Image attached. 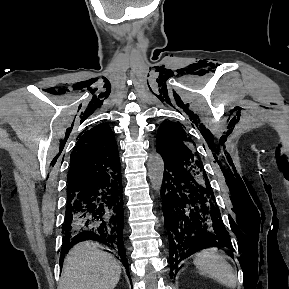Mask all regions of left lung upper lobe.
<instances>
[{
  "label": "left lung upper lobe",
  "instance_id": "5c2ea615",
  "mask_svg": "<svg viewBox=\"0 0 289 289\" xmlns=\"http://www.w3.org/2000/svg\"><path fill=\"white\" fill-rule=\"evenodd\" d=\"M194 145V141L186 137L184 129L177 123L165 121L160 125L156 136V149L163 160L183 167L198 179L209 183Z\"/></svg>",
  "mask_w": 289,
  "mask_h": 289
}]
</instances>
